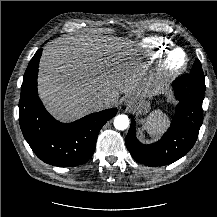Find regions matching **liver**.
<instances>
[{"label": "liver", "instance_id": "1", "mask_svg": "<svg viewBox=\"0 0 217 217\" xmlns=\"http://www.w3.org/2000/svg\"><path fill=\"white\" fill-rule=\"evenodd\" d=\"M123 43H113L90 35L62 36L43 50L39 63L38 90L46 109L60 121H73L93 112L92 97L115 105L120 94L136 96L154 91L150 83H140L142 72L122 51Z\"/></svg>", "mask_w": 217, "mask_h": 217}]
</instances>
